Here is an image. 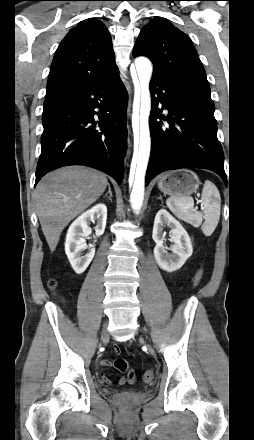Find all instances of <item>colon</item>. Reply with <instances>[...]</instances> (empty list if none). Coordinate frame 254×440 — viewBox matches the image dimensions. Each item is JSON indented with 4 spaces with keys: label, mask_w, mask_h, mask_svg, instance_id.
I'll use <instances>...</instances> for the list:
<instances>
[{
    "label": "colon",
    "mask_w": 254,
    "mask_h": 440,
    "mask_svg": "<svg viewBox=\"0 0 254 440\" xmlns=\"http://www.w3.org/2000/svg\"><path fill=\"white\" fill-rule=\"evenodd\" d=\"M202 277H203V273H202V271H199L194 277L193 285L197 286L200 283V281L202 280ZM49 286L51 288H54L56 286L55 281H51L49 283ZM114 367L120 372L127 373V381L129 383H133L136 381L137 375H136L135 371L129 369L128 363L125 359L117 358L114 361ZM152 379H153V372L150 370L146 371L143 375V381L146 383H149L152 381Z\"/></svg>",
    "instance_id": "1"
}]
</instances>
